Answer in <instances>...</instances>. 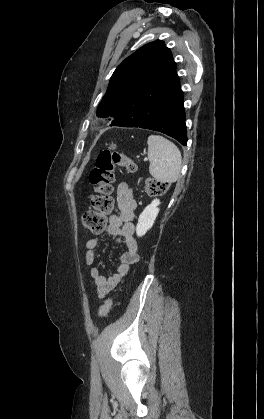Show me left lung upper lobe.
Wrapping results in <instances>:
<instances>
[{
    "label": "left lung upper lobe",
    "instance_id": "1",
    "mask_svg": "<svg viewBox=\"0 0 264 419\" xmlns=\"http://www.w3.org/2000/svg\"><path fill=\"white\" fill-rule=\"evenodd\" d=\"M176 76V63L163 41L156 40L127 57L114 71L97 116L116 117L131 109L147 89Z\"/></svg>",
    "mask_w": 264,
    "mask_h": 419
}]
</instances>
